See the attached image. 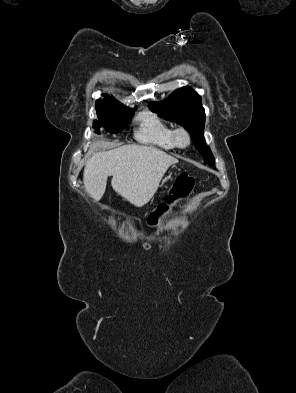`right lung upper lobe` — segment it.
<instances>
[{
    "instance_id": "obj_1",
    "label": "right lung upper lobe",
    "mask_w": 296,
    "mask_h": 393,
    "mask_svg": "<svg viewBox=\"0 0 296 393\" xmlns=\"http://www.w3.org/2000/svg\"><path fill=\"white\" fill-rule=\"evenodd\" d=\"M103 96H104V99L97 100L96 104H100V103H104V102L116 101L112 97L108 96L107 94H103Z\"/></svg>"
}]
</instances>
